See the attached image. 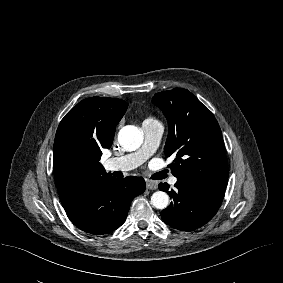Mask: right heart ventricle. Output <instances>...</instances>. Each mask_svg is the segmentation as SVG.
Segmentation results:
<instances>
[{
  "mask_svg": "<svg viewBox=\"0 0 283 283\" xmlns=\"http://www.w3.org/2000/svg\"><path fill=\"white\" fill-rule=\"evenodd\" d=\"M147 120H153L152 118H148Z\"/></svg>",
  "mask_w": 283,
  "mask_h": 283,
  "instance_id": "right-heart-ventricle-1",
  "label": "right heart ventricle"
}]
</instances>
